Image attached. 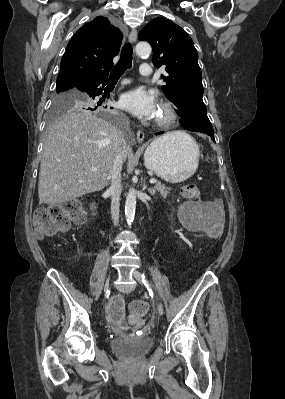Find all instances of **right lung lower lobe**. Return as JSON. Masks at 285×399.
I'll list each match as a JSON object with an SVG mask.
<instances>
[{
  "instance_id": "right-lung-lower-lobe-1",
  "label": "right lung lower lobe",
  "mask_w": 285,
  "mask_h": 399,
  "mask_svg": "<svg viewBox=\"0 0 285 399\" xmlns=\"http://www.w3.org/2000/svg\"><path fill=\"white\" fill-rule=\"evenodd\" d=\"M105 76H97L86 78L76 85V89L91 95L92 97L102 94L101 86L104 87L107 83Z\"/></svg>"
}]
</instances>
